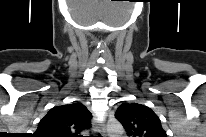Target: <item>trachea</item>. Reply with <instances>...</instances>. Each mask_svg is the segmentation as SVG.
Returning <instances> with one entry per match:
<instances>
[{
	"mask_svg": "<svg viewBox=\"0 0 206 137\" xmlns=\"http://www.w3.org/2000/svg\"><path fill=\"white\" fill-rule=\"evenodd\" d=\"M92 137H102V136H92Z\"/></svg>",
	"mask_w": 206,
	"mask_h": 137,
	"instance_id": "obj_1",
	"label": "trachea"
}]
</instances>
